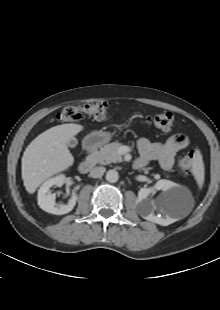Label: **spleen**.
<instances>
[{"mask_svg": "<svg viewBox=\"0 0 220 310\" xmlns=\"http://www.w3.org/2000/svg\"><path fill=\"white\" fill-rule=\"evenodd\" d=\"M192 173L199 187H202L204 183V164L202 161L201 154L199 152H197L193 160Z\"/></svg>", "mask_w": 220, "mask_h": 310, "instance_id": "1", "label": "spleen"}]
</instances>
